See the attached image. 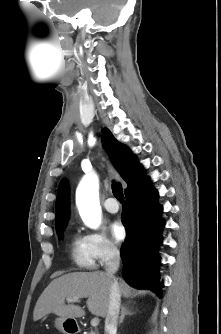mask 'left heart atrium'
I'll return each instance as SVG.
<instances>
[{"label": "left heart atrium", "mask_w": 221, "mask_h": 334, "mask_svg": "<svg viewBox=\"0 0 221 334\" xmlns=\"http://www.w3.org/2000/svg\"><path fill=\"white\" fill-rule=\"evenodd\" d=\"M110 232L116 242H120L125 237V228L120 221H114L110 224Z\"/></svg>", "instance_id": "left-heart-atrium-1"}]
</instances>
